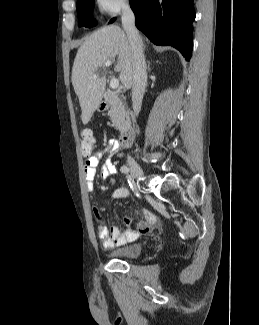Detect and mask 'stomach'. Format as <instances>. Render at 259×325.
<instances>
[{"label":"stomach","instance_id":"stomach-1","mask_svg":"<svg viewBox=\"0 0 259 325\" xmlns=\"http://www.w3.org/2000/svg\"><path fill=\"white\" fill-rule=\"evenodd\" d=\"M106 110V107L102 104V103H100V105L98 106V111H105Z\"/></svg>","mask_w":259,"mask_h":325}]
</instances>
